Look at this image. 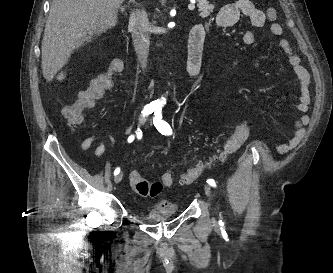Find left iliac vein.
Wrapping results in <instances>:
<instances>
[{
    "label": "left iliac vein",
    "instance_id": "1",
    "mask_svg": "<svg viewBox=\"0 0 333 273\" xmlns=\"http://www.w3.org/2000/svg\"><path fill=\"white\" fill-rule=\"evenodd\" d=\"M203 188H204V191H205V193L207 194V196L211 198V197H212V192H211V188H210V186H208V185H204ZM212 222H213V223L216 222L215 218H212Z\"/></svg>",
    "mask_w": 333,
    "mask_h": 273
}]
</instances>
